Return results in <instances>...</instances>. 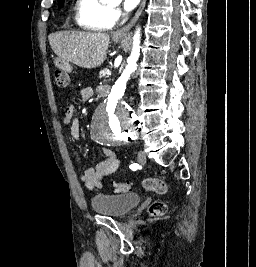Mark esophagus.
<instances>
[{
    "label": "esophagus",
    "instance_id": "esophagus-1",
    "mask_svg": "<svg viewBox=\"0 0 256 267\" xmlns=\"http://www.w3.org/2000/svg\"><path fill=\"white\" fill-rule=\"evenodd\" d=\"M146 1L147 0H141V4H140L138 10L136 11L135 15L133 16V18L123 28H121L120 30L115 32L114 36L120 37V36H124L127 34V32L135 25L136 21L138 20L139 16L141 15Z\"/></svg>",
    "mask_w": 256,
    "mask_h": 267
}]
</instances>
